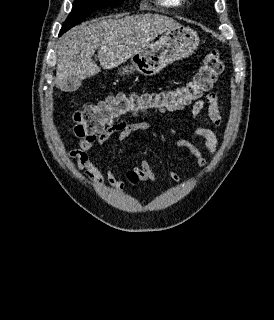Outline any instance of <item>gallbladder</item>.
Masks as SVG:
<instances>
[{"instance_id":"gallbladder-1","label":"gallbladder","mask_w":274,"mask_h":320,"mask_svg":"<svg viewBox=\"0 0 274 320\" xmlns=\"http://www.w3.org/2000/svg\"><path fill=\"white\" fill-rule=\"evenodd\" d=\"M72 78H66L65 79V84H66V90H70V94H76L77 90V85L80 84V79L77 78L78 74L76 72H73L71 74Z\"/></svg>"}]
</instances>
